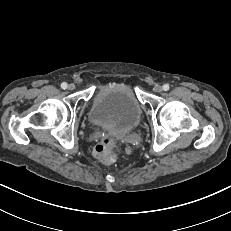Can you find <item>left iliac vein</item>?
<instances>
[{
  "label": "left iliac vein",
  "instance_id": "4c4485c4",
  "mask_svg": "<svg viewBox=\"0 0 231 231\" xmlns=\"http://www.w3.org/2000/svg\"><path fill=\"white\" fill-rule=\"evenodd\" d=\"M154 91L157 92V93H161L163 91V88L160 86V85H157L155 88H154Z\"/></svg>",
  "mask_w": 231,
  "mask_h": 231
}]
</instances>
